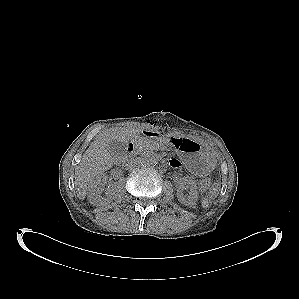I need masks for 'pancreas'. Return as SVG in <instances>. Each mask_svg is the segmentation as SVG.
<instances>
[{"mask_svg": "<svg viewBox=\"0 0 299 299\" xmlns=\"http://www.w3.org/2000/svg\"><path fill=\"white\" fill-rule=\"evenodd\" d=\"M137 144L139 147H142V149H150V148H157L158 145L155 141H152L146 137H140L137 140Z\"/></svg>", "mask_w": 299, "mask_h": 299, "instance_id": "1", "label": "pancreas"}]
</instances>
